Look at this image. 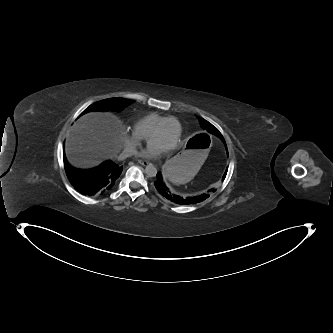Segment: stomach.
Wrapping results in <instances>:
<instances>
[{"instance_id":"1","label":"stomach","mask_w":333,"mask_h":333,"mask_svg":"<svg viewBox=\"0 0 333 333\" xmlns=\"http://www.w3.org/2000/svg\"><path fill=\"white\" fill-rule=\"evenodd\" d=\"M211 147V138L206 132L195 133L193 137L185 139L176 155L160 166V179L168 185L190 181L206 159Z\"/></svg>"}]
</instances>
